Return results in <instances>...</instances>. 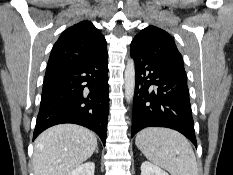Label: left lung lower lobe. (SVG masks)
<instances>
[{"label": "left lung lower lobe", "mask_w": 233, "mask_h": 175, "mask_svg": "<svg viewBox=\"0 0 233 175\" xmlns=\"http://www.w3.org/2000/svg\"><path fill=\"white\" fill-rule=\"evenodd\" d=\"M130 55L136 74L131 136L146 127H167L197 147L186 74L154 62L133 44Z\"/></svg>", "instance_id": "0a47b994"}]
</instances>
